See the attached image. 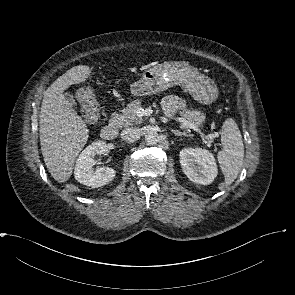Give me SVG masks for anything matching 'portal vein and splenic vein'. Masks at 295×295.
<instances>
[{"label":"portal vein and splenic vein","mask_w":295,"mask_h":295,"mask_svg":"<svg viewBox=\"0 0 295 295\" xmlns=\"http://www.w3.org/2000/svg\"><path fill=\"white\" fill-rule=\"evenodd\" d=\"M137 113L139 116H143V115L147 114V111L142 108H138ZM175 120L180 122L183 126L189 128V129H193L194 131L198 132L201 136H204L208 140L212 139L214 137L213 134L204 135L203 132L195 124L185 120L182 117H177V118H175Z\"/></svg>","instance_id":"1"}]
</instances>
